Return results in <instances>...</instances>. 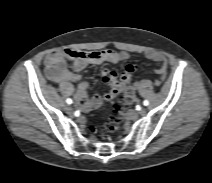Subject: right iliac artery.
<instances>
[{
    "instance_id": "right-iliac-artery-1",
    "label": "right iliac artery",
    "mask_w": 212,
    "mask_h": 183,
    "mask_svg": "<svg viewBox=\"0 0 212 183\" xmlns=\"http://www.w3.org/2000/svg\"><path fill=\"white\" fill-rule=\"evenodd\" d=\"M66 102H67V104H72V100H71L70 98H68V99L66 100Z\"/></svg>"
}]
</instances>
